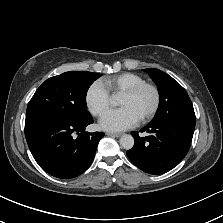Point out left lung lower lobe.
<instances>
[{"mask_svg": "<svg viewBox=\"0 0 223 223\" xmlns=\"http://www.w3.org/2000/svg\"><path fill=\"white\" fill-rule=\"evenodd\" d=\"M195 125L181 122L149 123L141 132L150 135L140 137L131 132L135 144L127 156L139 169L149 174H162L176 167L186 156Z\"/></svg>", "mask_w": 223, "mask_h": 223, "instance_id": "0a47b994", "label": "left lung lower lobe"}]
</instances>
